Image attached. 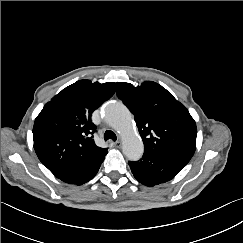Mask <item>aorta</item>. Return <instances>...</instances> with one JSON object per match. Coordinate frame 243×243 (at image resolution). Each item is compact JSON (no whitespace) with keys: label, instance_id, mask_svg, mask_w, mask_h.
Segmentation results:
<instances>
[{"label":"aorta","instance_id":"obj_1","mask_svg":"<svg viewBox=\"0 0 243 243\" xmlns=\"http://www.w3.org/2000/svg\"><path fill=\"white\" fill-rule=\"evenodd\" d=\"M104 113L106 122L121 136L123 154L129 160H139L144 145L136 132L129 109L121 102L111 101L106 105Z\"/></svg>","mask_w":243,"mask_h":243}]
</instances>
